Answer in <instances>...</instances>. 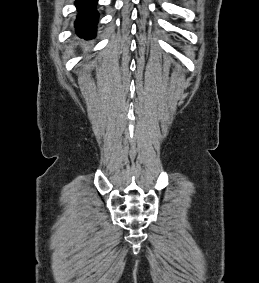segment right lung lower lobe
Here are the masks:
<instances>
[{
  "instance_id": "obj_1",
  "label": "right lung lower lobe",
  "mask_w": 259,
  "mask_h": 283,
  "mask_svg": "<svg viewBox=\"0 0 259 283\" xmlns=\"http://www.w3.org/2000/svg\"><path fill=\"white\" fill-rule=\"evenodd\" d=\"M96 2L97 0L76 1L80 15L75 22V28L77 34L85 39H91L95 36L98 15L95 10Z\"/></svg>"
}]
</instances>
